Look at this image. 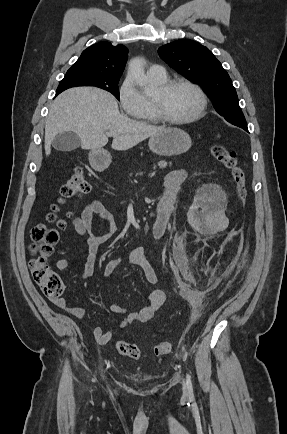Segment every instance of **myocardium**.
<instances>
[{
  "label": "myocardium",
  "mask_w": 287,
  "mask_h": 434,
  "mask_svg": "<svg viewBox=\"0 0 287 434\" xmlns=\"http://www.w3.org/2000/svg\"><path fill=\"white\" fill-rule=\"evenodd\" d=\"M176 86H187L189 88H191L198 96L199 99V105L197 110L195 111L194 114H192L189 117L186 118H182V119H175L170 117L162 103L156 99H152L153 105H154V109L155 112L158 116V118L168 124H172V125H184V124H188V123H192L198 119H200L207 107V97L204 93V91L195 83H193L190 80L187 79H182V78H174V79H168L165 82L161 83L159 88L161 89V91L163 92H168L171 89H173Z\"/></svg>",
  "instance_id": "myocardium-1"
}]
</instances>
